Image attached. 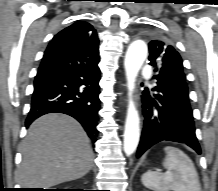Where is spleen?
<instances>
[{
  "label": "spleen",
  "mask_w": 218,
  "mask_h": 191,
  "mask_svg": "<svg viewBox=\"0 0 218 191\" xmlns=\"http://www.w3.org/2000/svg\"><path fill=\"white\" fill-rule=\"evenodd\" d=\"M165 173L148 171L142 175L143 185L154 191H201L198 173L192 160L180 149L164 148Z\"/></svg>",
  "instance_id": "3e777b00"
}]
</instances>
